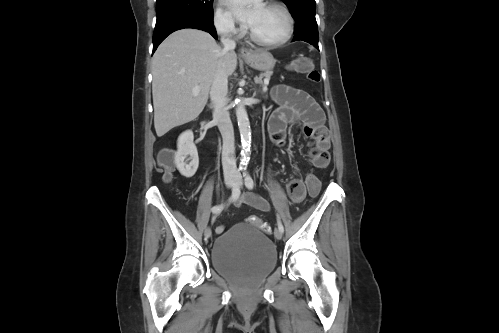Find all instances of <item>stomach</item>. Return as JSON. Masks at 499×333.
Here are the masks:
<instances>
[{
  "instance_id": "stomach-1",
  "label": "stomach",
  "mask_w": 499,
  "mask_h": 333,
  "mask_svg": "<svg viewBox=\"0 0 499 333\" xmlns=\"http://www.w3.org/2000/svg\"><path fill=\"white\" fill-rule=\"evenodd\" d=\"M243 59L248 65L259 71H270L274 68L276 63L273 55L266 50L251 51L249 55L244 56Z\"/></svg>"
}]
</instances>
